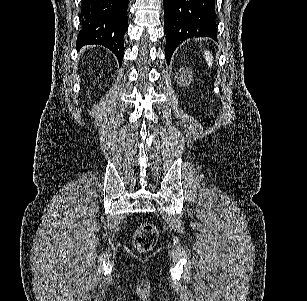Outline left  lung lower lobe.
<instances>
[{"mask_svg":"<svg viewBox=\"0 0 307 301\" xmlns=\"http://www.w3.org/2000/svg\"><path fill=\"white\" fill-rule=\"evenodd\" d=\"M215 0H163L165 57L169 64L176 47L187 38L217 39Z\"/></svg>","mask_w":307,"mask_h":301,"instance_id":"obj_1","label":"left lung lower lobe"}]
</instances>
